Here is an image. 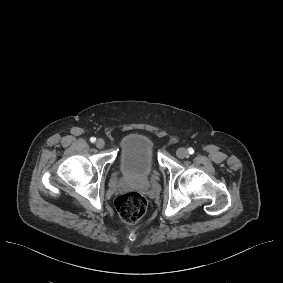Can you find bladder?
Returning <instances> with one entry per match:
<instances>
[{"label":"bladder","mask_w":283,"mask_h":283,"mask_svg":"<svg viewBox=\"0 0 283 283\" xmlns=\"http://www.w3.org/2000/svg\"><path fill=\"white\" fill-rule=\"evenodd\" d=\"M120 166L128 176L146 177L153 168L154 148L142 134H132L123 142Z\"/></svg>","instance_id":"bladder-1"}]
</instances>
